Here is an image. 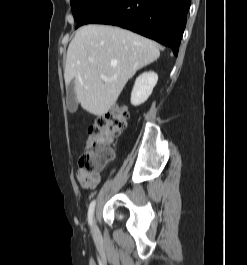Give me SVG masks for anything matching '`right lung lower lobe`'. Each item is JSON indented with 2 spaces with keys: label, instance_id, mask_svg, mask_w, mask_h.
<instances>
[{
  "label": "right lung lower lobe",
  "instance_id": "98d812e1",
  "mask_svg": "<svg viewBox=\"0 0 247 265\" xmlns=\"http://www.w3.org/2000/svg\"><path fill=\"white\" fill-rule=\"evenodd\" d=\"M191 0H98L77 22L129 29L172 48L177 56Z\"/></svg>",
  "mask_w": 247,
  "mask_h": 265
}]
</instances>
